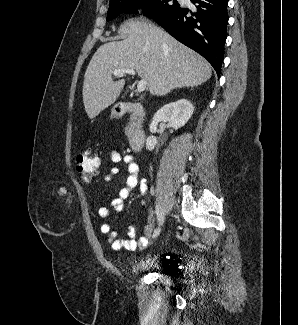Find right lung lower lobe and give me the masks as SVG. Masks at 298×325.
<instances>
[{"mask_svg": "<svg viewBox=\"0 0 298 325\" xmlns=\"http://www.w3.org/2000/svg\"><path fill=\"white\" fill-rule=\"evenodd\" d=\"M195 7H176L153 19L170 35L192 48L220 73L227 37L228 0H190Z\"/></svg>", "mask_w": 298, "mask_h": 325, "instance_id": "98d812e1", "label": "right lung lower lobe"}]
</instances>
